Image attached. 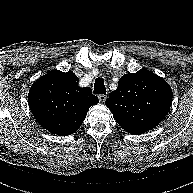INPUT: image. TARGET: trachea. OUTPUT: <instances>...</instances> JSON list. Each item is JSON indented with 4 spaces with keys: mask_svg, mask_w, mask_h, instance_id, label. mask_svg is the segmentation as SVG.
Listing matches in <instances>:
<instances>
[{
    "mask_svg": "<svg viewBox=\"0 0 193 193\" xmlns=\"http://www.w3.org/2000/svg\"><path fill=\"white\" fill-rule=\"evenodd\" d=\"M95 94H106V88L104 84V80L102 78H97L94 83V91Z\"/></svg>",
    "mask_w": 193,
    "mask_h": 193,
    "instance_id": "1",
    "label": "trachea"
}]
</instances>
